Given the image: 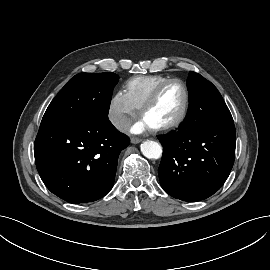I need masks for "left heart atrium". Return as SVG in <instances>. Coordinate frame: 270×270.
<instances>
[{
	"mask_svg": "<svg viewBox=\"0 0 270 270\" xmlns=\"http://www.w3.org/2000/svg\"><path fill=\"white\" fill-rule=\"evenodd\" d=\"M151 128H152V126H150L145 120L140 119L132 125L131 132L139 134V133H143Z\"/></svg>",
	"mask_w": 270,
	"mask_h": 270,
	"instance_id": "1",
	"label": "left heart atrium"
}]
</instances>
